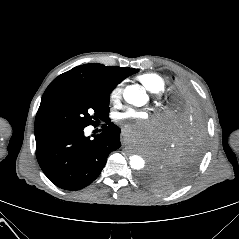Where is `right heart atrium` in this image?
I'll list each match as a JSON object with an SVG mask.
<instances>
[{
  "label": "right heart atrium",
  "mask_w": 239,
  "mask_h": 239,
  "mask_svg": "<svg viewBox=\"0 0 239 239\" xmlns=\"http://www.w3.org/2000/svg\"><path fill=\"white\" fill-rule=\"evenodd\" d=\"M123 88L121 84H118L112 88L109 93V100L113 104H118L122 98Z\"/></svg>",
  "instance_id": "d8ad5b80"
}]
</instances>
